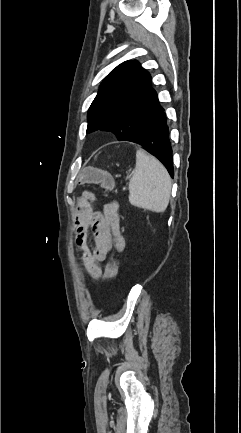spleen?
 Here are the masks:
<instances>
[{
	"label": "spleen",
	"mask_w": 241,
	"mask_h": 433,
	"mask_svg": "<svg viewBox=\"0 0 241 433\" xmlns=\"http://www.w3.org/2000/svg\"><path fill=\"white\" fill-rule=\"evenodd\" d=\"M171 178L165 167L142 150L136 152V168L129 181V202L156 213L169 204Z\"/></svg>",
	"instance_id": "spleen-1"
}]
</instances>
